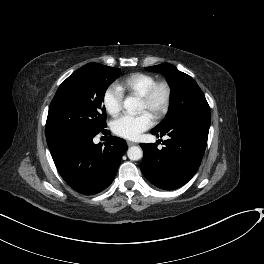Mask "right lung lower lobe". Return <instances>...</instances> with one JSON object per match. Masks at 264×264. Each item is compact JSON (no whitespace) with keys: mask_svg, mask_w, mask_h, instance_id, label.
Returning a JSON list of instances; mask_svg holds the SVG:
<instances>
[{"mask_svg":"<svg viewBox=\"0 0 264 264\" xmlns=\"http://www.w3.org/2000/svg\"><path fill=\"white\" fill-rule=\"evenodd\" d=\"M109 132L106 129L102 133ZM94 134L67 133L47 139V143L65 182L75 191L93 195L113 181L123 153L125 140L110 136L102 144H94Z\"/></svg>","mask_w":264,"mask_h":264,"instance_id":"98d812e1","label":"right lung lower lobe"}]
</instances>
